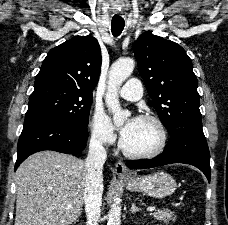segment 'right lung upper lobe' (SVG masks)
<instances>
[{"label": "right lung upper lobe", "mask_w": 228, "mask_h": 225, "mask_svg": "<svg viewBox=\"0 0 228 225\" xmlns=\"http://www.w3.org/2000/svg\"><path fill=\"white\" fill-rule=\"evenodd\" d=\"M101 50L92 36H76L51 49L44 59L35 85L59 83L90 92L97 85Z\"/></svg>", "instance_id": "1"}]
</instances>
